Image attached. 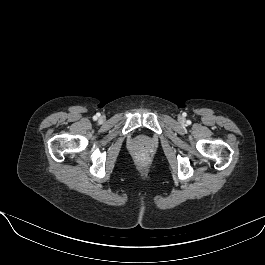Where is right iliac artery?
<instances>
[{"label": "right iliac artery", "instance_id": "obj_1", "mask_svg": "<svg viewBox=\"0 0 265 265\" xmlns=\"http://www.w3.org/2000/svg\"><path fill=\"white\" fill-rule=\"evenodd\" d=\"M99 117V115H95L93 118L96 120Z\"/></svg>", "mask_w": 265, "mask_h": 265}]
</instances>
